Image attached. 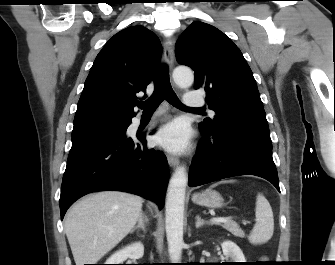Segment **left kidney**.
<instances>
[{
    "instance_id": "left-kidney-1",
    "label": "left kidney",
    "mask_w": 335,
    "mask_h": 265,
    "mask_svg": "<svg viewBox=\"0 0 335 265\" xmlns=\"http://www.w3.org/2000/svg\"><path fill=\"white\" fill-rule=\"evenodd\" d=\"M223 254L226 258L230 257L231 262H245V257L241 249L232 241H224L221 243Z\"/></svg>"
}]
</instances>
